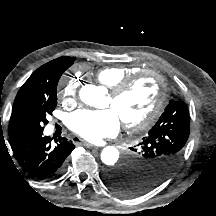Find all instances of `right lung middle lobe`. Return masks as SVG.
Listing matches in <instances>:
<instances>
[{"instance_id":"1","label":"right lung middle lobe","mask_w":216,"mask_h":216,"mask_svg":"<svg viewBox=\"0 0 216 216\" xmlns=\"http://www.w3.org/2000/svg\"><path fill=\"white\" fill-rule=\"evenodd\" d=\"M72 64H64L62 73L68 69ZM57 87V85H56ZM56 87L52 89L47 96L41 97L26 109L20 116L18 121V128L22 133L32 131H43L44 125L48 123L46 119L47 114H52L57 104Z\"/></svg>"}]
</instances>
